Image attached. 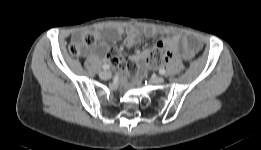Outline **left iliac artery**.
Instances as JSON below:
<instances>
[{
    "label": "left iliac artery",
    "instance_id": "1",
    "mask_svg": "<svg viewBox=\"0 0 261 150\" xmlns=\"http://www.w3.org/2000/svg\"><path fill=\"white\" fill-rule=\"evenodd\" d=\"M159 73H160L161 75H164V74L166 73V71H165L164 68H161V69L159 70Z\"/></svg>",
    "mask_w": 261,
    "mask_h": 150
}]
</instances>
